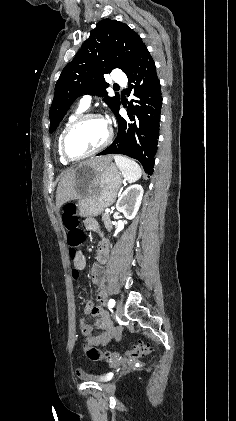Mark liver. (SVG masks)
<instances>
[{
  "label": "liver",
  "mask_w": 236,
  "mask_h": 421,
  "mask_svg": "<svg viewBox=\"0 0 236 421\" xmlns=\"http://www.w3.org/2000/svg\"><path fill=\"white\" fill-rule=\"evenodd\" d=\"M114 154H107V156H94L87 160L92 166H107L110 164ZM76 168H69L64 174H62L56 192V208L57 211H60V206L67 202V200H72L77 196V182L75 176Z\"/></svg>",
  "instance_id": "obj_1"
}]
</instances>
